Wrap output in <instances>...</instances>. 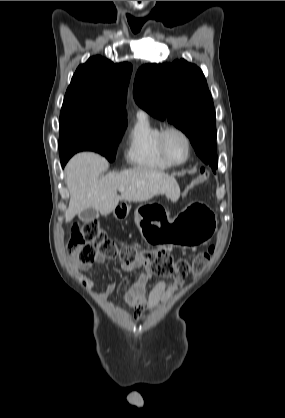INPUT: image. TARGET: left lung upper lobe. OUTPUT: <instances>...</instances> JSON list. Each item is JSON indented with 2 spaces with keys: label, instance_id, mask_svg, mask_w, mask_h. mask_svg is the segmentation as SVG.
I'll return each mask as SVG.
<instances>
[{
  "label": "left lung upper lobe",
  "instance_id": "left-lung-upper-lobe-1",
  "mask_svg": "<svg viewBox=\"0 0 285 418\" xmlns=\"http://www.w3.org/2000/svg\"><path fill=\"white\" fill-rule=\"evenodd\" d=\"M133 93L142 109L182 130L202 161L217 168L215 109L200 68L184 59L143 65Z\"/></svg>",
  "mask_w": 285,
  "mask_h": 418
}]
</instances>
